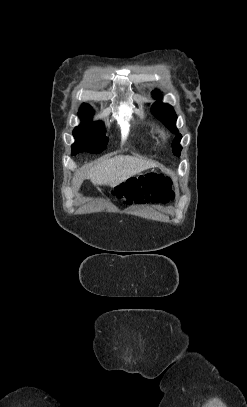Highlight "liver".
Segmentation results:
<instances>
[{
    "label": "liver",
    "instance_id": "6515ba94",
    "mask_svg": "<svg viewBox=\"0 0 247 407\" xmlns=\"http://www.w3.org/2000/svg\"><path fill=\"white\" fill-rule=\"evenodd\" d=\"M156 166L155 162L143 158L117 156L91 167L88 175L94 185L113 187L144 170Z\"/></svg>",
    "mask_w": 247,
    "mask_h": 407
}]
</instances>
